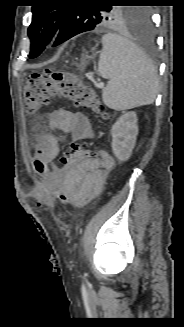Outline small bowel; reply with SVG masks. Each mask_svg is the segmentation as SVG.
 Segmentation results:
<instances>
[{"instance_id": "small-bowel-1", "label": "small bowel", "mask_w": 184, "mask_h": 327, "mask_svg": "<svg viewBox=\"0 0 184 327\" xmlns=\"http://www.w3.org/2000/svg\"><path fill=\"white\" fill-rule=\"evenodd\" d=\"M50 131H62L71 134L75 141L94 138L89 119L80 112L65 108L55 110L48 122ZM57 137L51 133L38 139L33 165H51L52 171L43 173L40 188H29L28 194L34 199V206H44V199L51 198V192L61 186L71 197V202H86L100 194L107 174L113 169L115 161L105 149L93 153H60ZM58 158L57 163L54 164ZM80 160H90L80 166ZM42 173V172H37Z\"/></svg>"}]
</instances>
